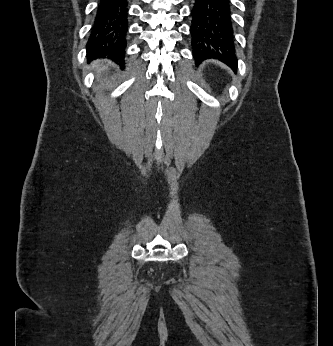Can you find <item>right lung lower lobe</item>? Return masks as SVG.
<instances>
[{
    "label": "right lung lower lobe",
    "mask_w": 333,
    "mask_h": 346,
    "mask_svg": "<svg viewBox=\"0 0 333 346\" xmlns=\"http://www.w3.org/2000/svg\"><path fill=\"white\" fill-rule=\"evenodd\" d=\"M127 0H99L87 42L88 60L105 58L124 63L128 31Z\"/></svg>",
    "instance_id": "right-lung-lower-lobe-1"
}]
</instances>
